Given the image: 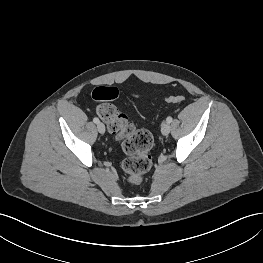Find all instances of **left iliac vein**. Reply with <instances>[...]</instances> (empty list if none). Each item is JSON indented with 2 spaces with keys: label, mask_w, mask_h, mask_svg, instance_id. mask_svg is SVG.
Segmentation results:
<instances>
[{
  "label": "left iliac vein",
  "mask_w": 263,
  "mask_h": 263,
  "mask_svg": "<svg viewBox=\"0 0 263 263\" xmlns=\"http://www.w3.org/2000/svg\"><path fill=\"white\" fill-rule=\"evenodd\" d=\"M171 127L168 122H163L161 125V132L163 135H168L170 133Z\"/></svg>",
  "instance_id": "obj_1"
}]
</instances>
